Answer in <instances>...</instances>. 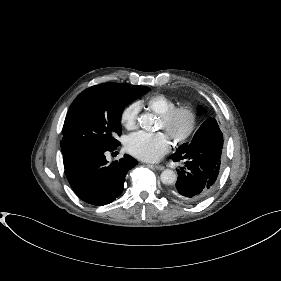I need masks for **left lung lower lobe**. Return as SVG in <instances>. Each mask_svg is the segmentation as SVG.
Segmentation results:
<instances>
[{"mask_svg": "<svg viewBox=\"0 0 281 281\" xmlns=\"http://www.w3.org/2000/svg\"><path fill=\"white\" fill-rule=\"evenodd\" d=\"M223 134L214 118H207L180 153L170 158L182 161L172 193L186 203H197L213 190L221 165Z\"/></svg>", "mask_w": 281, "mask_h": 281, "instance_id": "obj_1", "label": "left lung lower lobe"}]
</instances>
